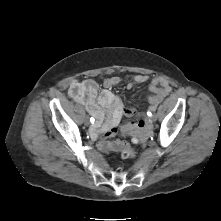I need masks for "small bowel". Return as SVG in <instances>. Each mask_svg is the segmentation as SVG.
<instances>
[{
	"mask_svg": "<svg viewBox=\"0 0 221 221\" xmlns=\"http://www.w3.org/2000/svg\"><path fill=\"white\" fill-rule=\"evenodd\" d=\"M148 80V76L136 74L132 78V84H141ZM121 82L118 76H112L104 81V89L99 91V86L93 79L73 81L68 89V95L75 101L85 106L87 112L96 120L91 128V136L99 135L111 138L117 134V126L125 116H133L134 109L126 107L120 98L110 89ZM130 84L129 86H131ZM149 102L156 106L171 91L170 83L163 77H155L150 81ZM140 120V119H136ZM135 121V120H134ZM132 123L122 126V134H128Z\"/></svg>",
	"mask_w": 221,
	"mask_h": 221,
	"instance_id": "obj_1",
	"label": "small bowel"
}]
</instances>
